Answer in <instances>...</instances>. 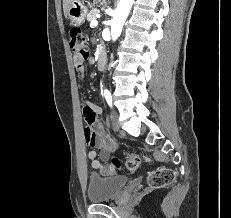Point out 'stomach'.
Returning a JSON list of instances; mask_svg holds the SVG:
<instances>
[{"label":"stomach","instance_id":"1","mask_svg":"<svg viewBox=\"0 0 231 218\" xmlns=\"http://www.w3.org/2000/svg\"><path fill=\"white\" fill-rule=\"evenodd\" d=\"M88 9L83 0H74L69 6L67 16L76 25L84 23Z\"/></svg>","mask_w":231,"mask_h":218}]
</instances>
